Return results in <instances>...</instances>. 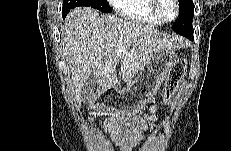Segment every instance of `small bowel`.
<instances>
[{"instance_id": "obj_1", "label": "small bowel", "mask_w": 231, "mask_h": 151, "mask_svg": "<svg viewBox=\"0 0 231 151\" xmlns=\"http://www.w3.org/2000/svg\"><path fill=\"white\" fill-rule=\"evenodd\" d=\"M155 110L156 107L152 106L151 114L142 117L133 119L114 117L110 119L106 128L113 144L119 147L121 151H136L143 139L142 132L147 130L150 122L155 119L153 116Z\"/></svg>"}]
</instances>
